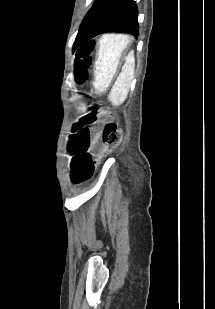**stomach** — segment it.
Masks as SVG:
<instances>
[{"label":"stomach","instance_id":"0dacf381","mask_svg":"<svg viewBox=\"0 0 215 309\" xmlns=\"http://www.w3.org/2000/svg\"><path fill=\"white\" fill-rule=\"evenodd\" d=\"M130 37L125 34H106L98 41L93 86L102 92L110 85L121 61L128 54Z\"/></svg>","mask_w":215,"mask_h":309}]
</instances>
